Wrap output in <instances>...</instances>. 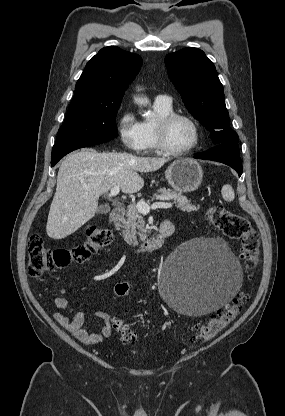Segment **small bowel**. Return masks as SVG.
I'll list each match as a JSON object with an SVG mask.
<instances>
[{"label":"small bowel","instance_id":"c3829d8e","mask_svg":"<svg viewBox=\"0 0 285 416\" xmlns=\"http://www.w3.org/2000/svg\"><path fill=\"white\" fill-rule=\"evenodd\" d=\"M54 305L57 309L72 315V318L70 319L60 312H54L52 314L54 320L78 341L87 345H92L102 343L111 336L113 331L112 318L106 311L95 312V316L100 319L103 324L101 325L99 332L90 333L88 331L85 313L81 308L72 307L64 297H56L54 299Z\"/></svg>","mask_w":285,"mask_h":416}]
</instances>
